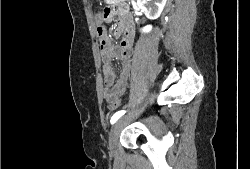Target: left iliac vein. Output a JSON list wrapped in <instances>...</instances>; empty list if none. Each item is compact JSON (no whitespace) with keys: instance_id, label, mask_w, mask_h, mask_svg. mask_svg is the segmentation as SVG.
<instances>
[{"instance_id":"4c4485c4","label":"left iliac vein","mask_w":250,"mask_h":169,"mask_svg":"<svg viewBox=\"0 0 250 169\" xmlns=\"http://www.w3.org/2000/svg\"><path fill=\"white\" fill-rule=\"evenodd\" d=\"M122 126H123V119L118 120L115 123V125L113 126V128L109 134V148H110V150H114L116 148Z\"/></svg>"}]
</instances>
